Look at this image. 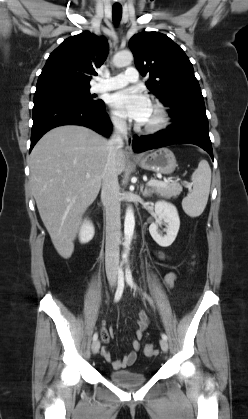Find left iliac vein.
<instances>
[{"mask_svg":"<svg viewBox=\"0 0 248 419\" xmlns=\"http://www.w3.org/2000/svg\"><path fill=\"white\" fill-rule=\"evenodd\" d=\"M160 347L162 349L163 352H167L168 351V342L165 339H161L160 340Z\"/></svg>","mask_w":248,"mask_h":419,"instance_id":"left-iliac-vein-1","label":"left iliac vein"}]
</instances>
